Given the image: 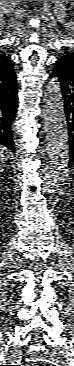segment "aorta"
Masks as SVG:
<instances>
[{
    "label": "aorta",
    "mask_w": 74,
    "mask_h": 366,
    "mask_svg": "<svg viewBox=\"0 0 74 366\" xmlns=\"http://www.w3.org/2000/svg\"><path fill=\"white\" fill-rule=\"evenodd\" d=\"M43 120L46 133V165L44 190H58L69 165V135L61 86L58 80L46 84L43 96Z\"/></svg>",
    "instance_id": "aorta-1"
}]
</instances>
